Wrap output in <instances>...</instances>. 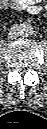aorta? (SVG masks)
Instances as JSON below:
<instances>
[{"instance_id": "aorta-1", "label": "aorta", "mask_w": 47, "mask_h": 129, "mask_svg": "<svg viewBox=\"0 0 47 129\" xmlns=\"http://www.w3.org/2000/svg\"><path fill=\"white\" fill-rule=\"evenodd\" d=\"M19 32L22 36H30L33 34V28L28 23H23L19 27Z\"/></svg>"}]
</instances>
